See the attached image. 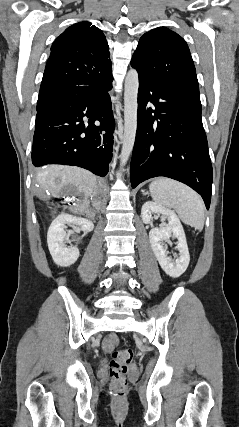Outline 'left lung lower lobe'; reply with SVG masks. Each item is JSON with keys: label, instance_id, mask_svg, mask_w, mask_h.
<instances>
[{"label": "left lung lower lobe", "instance_id": "0a47b994", "mask_svg": "<svg viewBox=\"0 0 239 427\" xmlns=\"http://www.w3.org/2000/svg\"><path fill=\"white\" fill-rule=\"evenodd\" d=\"M137 121L132 188L152 177H169L197 191L209 209L212 165L200 97L139 75Z\"/></svg>", "mask_w": 239, "mask_h": 427}]
</instances>
